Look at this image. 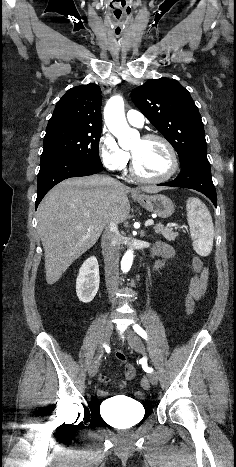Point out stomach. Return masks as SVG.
I'll return each instance as SVG.
<instances>
[{
  "mask_svg": "<svg viewBox=\"0 0 236 467\" xmlns=\"http://www.w3.org/2000/svg\"><path fill=\"white\" fill-rule=\"evenodd\" d=\"M135 199L147 211L158 215L161 218H168L174 212V204L170 198L156 194V195H139Z\"/></svg>",
  "mask_w": 236,
  "mask_h": 467,
  "instance_id": "0dacf381",
  "label": "stomach"
}]
</instances>
